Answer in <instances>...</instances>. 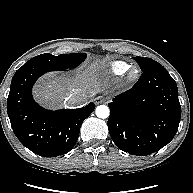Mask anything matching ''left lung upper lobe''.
<instances>
[{
    "mask_svg": "<svg viewBox=\"0 0 193 193\" xmlns=\"http://www.w3.org/2000/svg\"><path fill=\"white\" fill-rule=\"evenodd\" d=\"M134 60L139 64L142 71L159 64L158 62H156L153 59L143 58V57H138V56L134 57Z\"/></svg>",
    "mask_w": 193,
    "mask_h": 193,
    "instance_id": "1",
    "label": "left lung upper lobe"
}]
</instances>
